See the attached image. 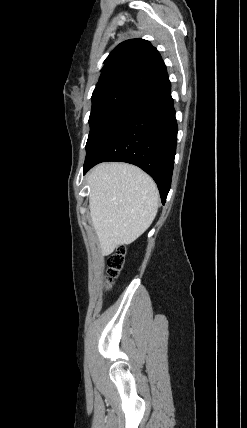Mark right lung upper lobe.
<instances>
[{"mask_svg": "<svg viewBox=\"0 0 247 428\" xmlns=\"http://www.w3.org/2000/svg\"><path fill=\"white\" fill-rule=\"evenodd\" d=\"M167 75L166 66L150 42L131 39L107 57L93 94L123 88L142 92Z\"/></svg>", "mask_w": 247, "mask_h": 428, "instance_id": "cb5924a9", "label": "right lung upper lobe"}]
</instances>
